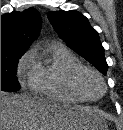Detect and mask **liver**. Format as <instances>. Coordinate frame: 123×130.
Wrapping results in <instances>:
<instances>
[{
  "label": "liver",
  "mask_w": 123,
  "mask_h": 130,
  "mask_svg": "<svg viewBox=\"0 0 123 130\" xmlns=\"http://www.w3.org/2000/svg\"><path fill=\"white\" fill-rule=\"evenodd\" d=\"M101 122L89 107L1 91V130H96Z\"/></svg>",
  "instance_id": "obj_1"
}]
</instances>
